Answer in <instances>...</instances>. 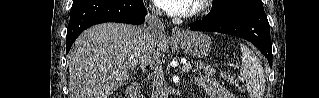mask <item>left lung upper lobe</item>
I'll use <instances>...</instances> for the list:
<instances>
[{
  "label": "left lung upper lobe",
  "instance_id": "obj_1",
  "mask_svg": "<svg viewBox=\"0 0 319 98\" xmlns=\"http://www.w3.org/2000/svg\"><path fill=\"white\" fill-rule=\"evenodd\" d=\"M261 2V0H213L210 13L204 17L205 20L220 19L229 14L234 8L248 2Z\"/></svg>",
  "mask_w": 319,
  "mask_h": 98
}]
</instances>
